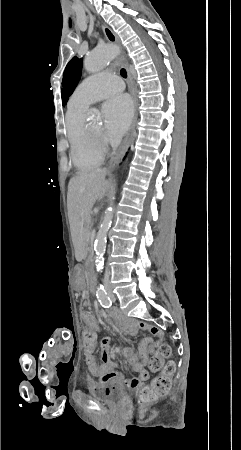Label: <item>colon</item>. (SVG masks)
<instances>
[{
	"instance_id": "1",
	"label": "colon",
	"mask_w": 241,
	"mask_h": 450,
	"mask_svg": "<svg viewBox=\"0 0 241 450\" xmlns=\"http://www.w3.org/2000/svg\"><path fill=\"white\" fill-rule=\"evenodd\" d=\"M98 338L93 335L91 329L82 330L79 332V346L84 348V351L91 352L93 348L97 347ZM170 355V349L167 345H160L158 351L153 356V371L161 369L163 361ZM174 369V363L169 361L162 370L160 376L155 378L148 386L140 390L138 403L142 406L157 402L166 395L170 388V373Z\"/></svg>"
}]
</instances>
